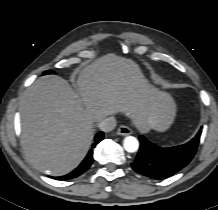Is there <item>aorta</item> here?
<instances>
[{"label":"aorta","instance_id":"obj_1","mask_svg":"<svg viewBox=\"0 0 218 210\" xmlns=\"http://www.w3.org/2000/svg\"><path fill=\"white\" fill-rule=\"evenodd\" d=\"M124 149L127 152L133 153L136 152L139 148L138 140L133 136H127L123 142Z\"/></svg>","mask_w":218,"mask_h":210}]
</instances>
